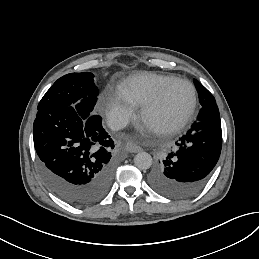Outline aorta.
Segmentation results:
<instances>
[{"label": "aorta", "instance_id": "1", "mask_svg": "<svg viewBox=\"0 0 259 259\" xmlns=\"http://www.w3.org/2000/svg\"><path fill=\"white\" fill-rule=\"evenodd\" d=\"M152 157L147 152H139L134 158V163L140 170L149 169L152 165Z\"/></svg>", "mask_w": 259, "mask_h": 259}]
</instances>
